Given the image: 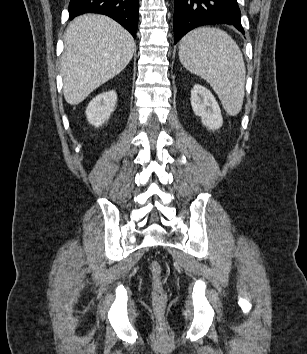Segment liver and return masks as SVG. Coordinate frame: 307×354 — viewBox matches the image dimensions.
Returning a JSON list of instances; mask_svg holds the SVG:
<instances>
[{
    "label": "liver",
    "mask_w": 307,
    "mask_h": 354,
    "mask_svg": "<svg viewBox=\"0 0 307 354\" xmlns=\"http://www.w3.org/2000/svg\"><path fill=\"white\" fill-rule=\"evenodd\" d=\"M135 41L111 18L84 14L68 25L61 57L63 94L78 105L96 88L118 75L133 57Z\"/></svg>",
    "instance_id": "liver-1"
}]
</instances>
